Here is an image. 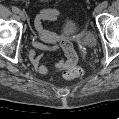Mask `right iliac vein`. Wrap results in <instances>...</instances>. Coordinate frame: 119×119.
<instances>
[{"instance_id": "1", "label": "right iliac vein", "mask_w": 119, "mask_h": 119, "mask_svg": "<svg viewBox=\"0 0 119 119\" xmlns=\"http://www.w3.org/2000/svg\"><path fill=\"white\" fill-rule=\"evenodd\" d=\"M18 14L21 20H25V13L23 11H19Z\"/></svg>"}]
</instances>
